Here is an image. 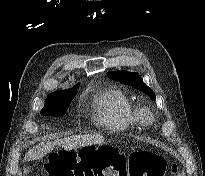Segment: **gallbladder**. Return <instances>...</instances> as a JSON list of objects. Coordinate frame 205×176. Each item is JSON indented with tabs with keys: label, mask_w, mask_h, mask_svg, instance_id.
I'll use <instances>...</instances> for the list:
<instances>
[{
	"label": "gallbladder",
	"mask_w": 205,
	"mask_h": 176,
	"mask_svg": "<svg viewBox=\"0 0 205 176\" xmlns=\"http://www.w3.org/2000/svg\"><path fill=\"white\" fill-rule=\"evenodd\" d=\"M29 171H30V168H29V167H27V168L24 169V173H28Z\"/></svg>",
	"instance_id": "gallbladder-1"
}]
</instances>
